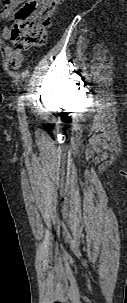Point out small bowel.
I'll use <instances>...</instances> for the list:
<instances>
[{"mask_svg": "<svg viewBox=\"0 0 127 303\" xmlns=\"http://www.w3.org/2000/svg\"><path fill=\"white\" fill-rule=\"evenodd\" d=\"M22 1L23 0H15L12 5L6 7L1 12L0 18L2 20H8L11 17L15 6L20 4ZM2 37L5 38V39L10 37V29L6 24L2 25ZM4 51H5V54H6L7 61L10 63V65L13 68L18 69L22 66V64L25 60V57H24V54L21 50L15 49L11 46H5Z\"/></svg>", "mask_w": 127, "mask_h": 303, "instance_id": "small-bowel-1", "label": "small bowel"}]
</instances>
